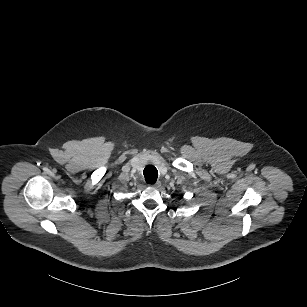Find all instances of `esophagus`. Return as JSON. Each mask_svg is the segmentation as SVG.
<instances>
[{"mask_svg":"<svg viewBox=\"0 0 307 307\" xmlns=\"http://www.w3.org/2000/svg\"><path fill=\"white\" fill-rule=\"evenodd\" d=\"M161 186V182L160 181H156L154 184H153V187H160Z\"/></svg>","mask_w":307,"mask_h":307,"instance_id":"obj_1","label":"esophagus"}]
</instances>
